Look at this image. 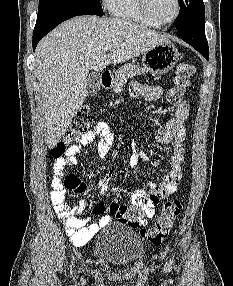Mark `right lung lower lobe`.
Segmentation results:
<instances>
[{
    "instance_id": "obj_1",
    "label": "right lung lower lobe",
    "mask_w": 233,
    "mask_h": 286,
    "mask_svg": "<svg viewBox=\"0 0 233 286\" xmlns=\"http://www.w3.org/2000/svg\"><path fill=\"white\" fill-rule=\"evenodd\" d=\"M78 15H92L88 11L79 9L71 5H59L49 10L41 17H37L36 25L33 32V50H35L38 42L48 32L54 29L63 21Z\"/></svg>"
}]
</instances>
